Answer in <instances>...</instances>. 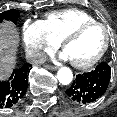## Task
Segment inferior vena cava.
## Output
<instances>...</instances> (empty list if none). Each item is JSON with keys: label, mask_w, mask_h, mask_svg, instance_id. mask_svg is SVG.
I'll list each match as a JSON object with an SVG mask.
<instances>
[{"label": "inferior vena cava", "mask_w": 117, "mask_h": 117, "mask_svg": "<svg viewBox=\"0 0 117 117\" xmlns=\"http://www.w3.org/2000/svg\"><path fill=\"white\" fill-rule=\"evenodd\" d=\"M27 61L31 64H42L46 61V54L41 51H33L27 55Z\"/></svg>", "instance_id": "obj_1"}]
</instances>
